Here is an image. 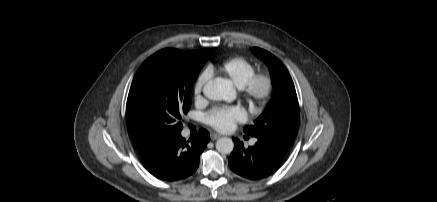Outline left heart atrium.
<instances>
[{
    "label": "left heart atrium",
    "instance_id": "left-heart-atrium-1",
    "mask_svg": "<svg viewBox=\"0 0 437 202\" xmlns=\"http://www.w3.org/2000/svg\"><path fill=\"white\" fill-rule=\"evenodd\" d=\"M245 120L246 113L241 107L216 108L206 116L207 123L220 132H228Z\"/></svg>",
    "mask_w": 437,
    "mask_h": 202
}]
</instances>
